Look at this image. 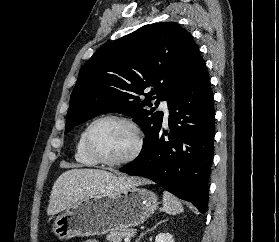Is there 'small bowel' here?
Wrapping results in <instances>:
<instances>
[{"label":"small bowel","instance_id":"c3829d8e","mask_svg":"<svg viewBox=\"0 0 279 242\" xmlns=\"http://www.w3.org/2000/svg\"><path fill=\"white\" fill-rule=\"evenodd\" d=\"M84 242H98L97 240H94V239H90V240H86Z\"/></svg>","mask_w":279,"mask_h":242}]
</instances>
